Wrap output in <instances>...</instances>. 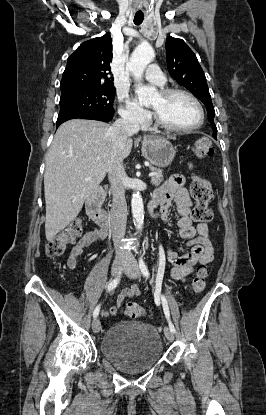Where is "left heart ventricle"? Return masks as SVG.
Wrapping results in <instances>:
<instances>
[{
    "label": "left heart ventricle",
    "instance_id": "left-heart-ventricle-1",
    "mask_svg": "<svg viewBox=\"0 0 266 415\" xmlns=\"http://www.w3.org/2000/svg\"><path fill=\"white\" fill-rule=\"evenodd\" d=\"M151 107L173 126L190 127L199 121V111L196 105L183 95L165 98L158 93L152 100Z\"/></svg>",
    "mask_w": 266,
    "mask_h": 415
}]
</instances>
